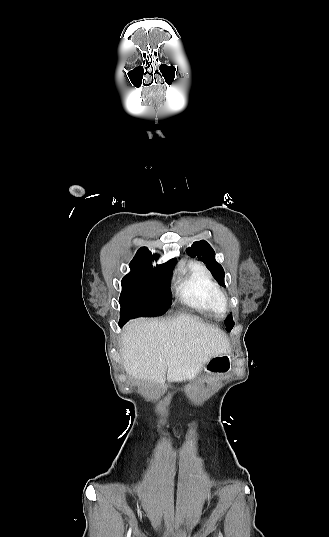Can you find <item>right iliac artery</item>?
I'll list each match as a JSON object with an SVG mask.
<instances>
[{"instance_id": "right-iliac-artery-1", "label": "right iliac artery", "mask_w": 329, "mask_h": 537, "mask_svg": "<svg viewBox=\"0 0 329 537\" xmlns=\"http://www.w3.org/2000/svg\"><path fill=\"white\" fill-rule=\"evenodd\" d=\"M131 536V530L128 531L127 537Z\"/></svg>"}]
</instances>
